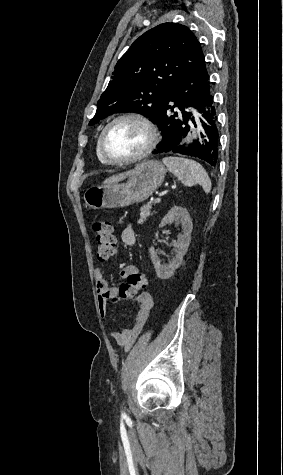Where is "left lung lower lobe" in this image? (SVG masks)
<instances>
[{
  "label": "left lung lower lobe",
  "instance_id": "0a47b994",
  "mask_svg": "<svg viewBox=\"0 0 283 475\" xmlns=\"http://www.w3.org/2000/svg\"><path fill=\"white\" fill-rule=\"evenodd\" d=\"M173 102V103H172ZM204 128L200 138L186 146L183 138L195 118ZM163 139L153 153L179 152L197 157L215 166L218 159L219 132L211 83L205 63L182 76L168 92L156 121Z\"/></svg>",
  "mask_w": 283,
  "mask_h": 475
}]
</instances>
